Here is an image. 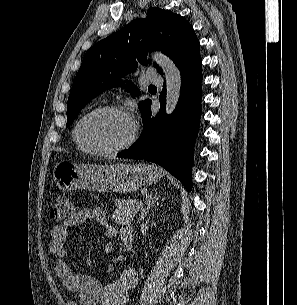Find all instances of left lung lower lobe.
Returning a JSON list of instances; mask_svg holds the SVG:
<instances>
[{
  "label": "left lung lower lobe",
  "instance_id": "1",
  "mask_svg": "<svg viewBox=\"0 0 297 305\" xmlns=\"http://www.w3.org/2000/svg\"><path fill=\"white\" fill-rule=\"evenodd\" d=\"M200 64L180 68L181 94L171 115H166V85L160 94V111L151 114V100L144 108V128L132 147L118 157L144 159L156 163L174 175L190 191L193 148L199 128L202 98Z\"/></svg>",
  "mask_w": 297,
  "mask_h": 305
}]
</instances>
